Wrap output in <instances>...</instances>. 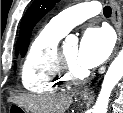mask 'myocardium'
Segmentation results:
<instances>
[{
	"label": "myocardium",
	"instance_id": "myocardium-1",
	"mask_svg": "<svg viewBox=\"0 0 123 113\" xmlns=\"http://www.w3.org/2000/svg\"><path fill=\"white\" fill-rule=\"evenodd\" d=\"M59 69L67 82H77L88 78L89 71L74 68L68 61L63 50L59 49L58 55Z\"/></svg>",
	"mask_w": 123,
	"mask_h": 113
}]
</instances>
